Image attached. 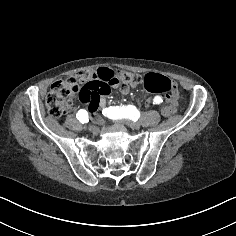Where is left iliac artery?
<instances>
[{
  "instance_id": "44dca946",
  "label": "left iliac artery",
  "mask_w": 236,
  "mask_h": 236,
  "mask_svg": "<svg viewBox=\"0 0 236 236\" xmlns=\"http://www.w3.org/2000/svg\"><path fill=\"white\" fill-rule=\"evenodd\" d=\"M163 100L160 96H156L154 98L153 104H160L162 103ZM136 107L133 105H128V106H116L112 107L110 106L109 108H105L102 111V114L107 116L110 119L117 120V119H122V118H128L131 113L135 111Z\"/></svg>"
}]
</instances>
